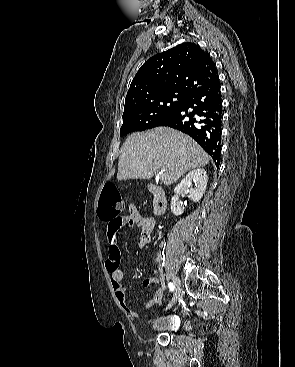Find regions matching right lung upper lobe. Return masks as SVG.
<instances>
[{
	"instance_id": "obj_1",
	"label": "right lung upper lobe",
	"mask_w": 295,
	"mask_h": 367,
	"mask_svg": "<svg viewBox=\"0 0 295 367\" xmlns=\"http://www.w3.org/2000/svg\"><path fill=\"white\" fill-rule=\"evenodd\" d=\"M218 78L210 55L195 43H182L148 59L138 70L125 98L133 102L174 93L189 96Z\"/></svg>"
}]
</instances>
